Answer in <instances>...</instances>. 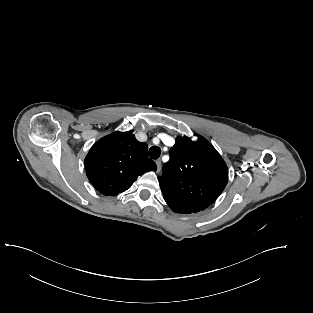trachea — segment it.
Instances as JSON below:
<instances>
[{
  "label": "trachea",
  "instance_id": "3493384b",
  "mask_svg": "<svg viewBox=\"0 0 313 313\" xmlns=\"http://www.w3.org/2000/svg\"><path fill=\"white\" fill-rule=\"evenodd\" d=\"M160 154H161V149L157 146H152L149 149V156L152 159H158L160 157Z\"/></svg>",
  "mask_w": 313,
  "mask_h": 313
}]
</instances>
